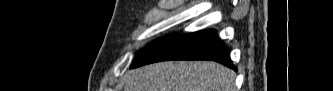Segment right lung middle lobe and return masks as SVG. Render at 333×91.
Wrapping results in <instances>:
<instances>
[{"instance_id": "1", "label": "right lung middle lobe", "mask_w": 333, "mask_h": 91, "mask_svg": "<svg viewBox=\"0 0 333 91\" xmlns=\"http://www.w3.org/2000/svg\"><path fill=\"white\" fill-rule=\"evenodd\" d=\"M169 37V36H168ZM166 37V38H168ZM165 38V39H166ZM165 39H161L158 41H155L154 43H152L151 45H149L148 47H146L135 59V61H137L138 59H140L141 57H143L146 53H148L151 49H153L154 47H156L158 44H160L162 41H164Z\"/></svg>"}]
</instances>
